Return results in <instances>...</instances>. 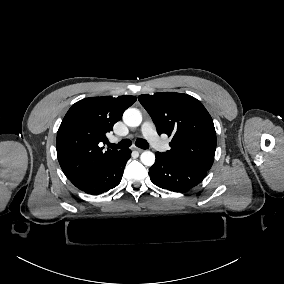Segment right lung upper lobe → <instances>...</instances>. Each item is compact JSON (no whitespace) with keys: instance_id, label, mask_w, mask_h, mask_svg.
Wrapping results in <instances>:
<instances>
[{"instance_id":"1","label":"right lung upper lobe","mask_w":284,"mask_h":284,"mask_svg":"<svg viewBox=\"0 0 284 284\" xmlns=\"http://www.w3.org/2000/svg\"><path fill=\"white\" fill-rule=\"evenodd\" d=\"M136 101L125 95L91 97L71 106L57 132L56 149L60 166L66 177L79 187L122 150L103 151L100 142L122 118L123 112Z\"/></svg>"}]
</instances>
